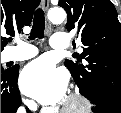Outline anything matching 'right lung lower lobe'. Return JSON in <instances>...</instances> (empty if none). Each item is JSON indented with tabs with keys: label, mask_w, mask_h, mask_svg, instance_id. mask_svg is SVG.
Segmentation results:
<instances>
[{
	"label": "right lung lower lobe",
	"mask_w": 121,
	"mask_h": 113,
	"mask_svg": "<svg viewBox=\"0 0 121 113\" xmlns=\"http://www.w3.org/2000/svg\"><path fill=\"white\" fill-rule=\"evenodd\" d=\"M18 71L19 67H12L1 72V113H15L20 106ZM27 112L30 113L28 109Z\"/></svg>",
	"instance_id": "1"
}]
</instances>
